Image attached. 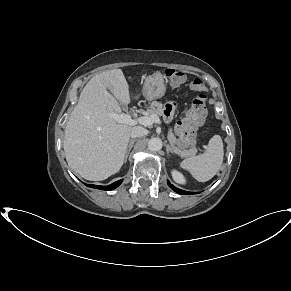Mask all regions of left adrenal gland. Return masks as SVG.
Here are the masks:
<instances>
[{
    "instance_id": "a2214340",
    "label": "left adrenal gland",
    "mask_w": 291,
    "mask_h": 291,
    "mask_svg": "<svg viewBox=\"0 0 291 291\" xmlns=\"http://www.w3.org/2000/svg\"><path fill=\"white\" fill-rule=\"evenodd\" d=\"M166 151H167V154H169V152L178 154L172 145H168L167 144L166 145Z\"/></svg>"
}]
</instances>
